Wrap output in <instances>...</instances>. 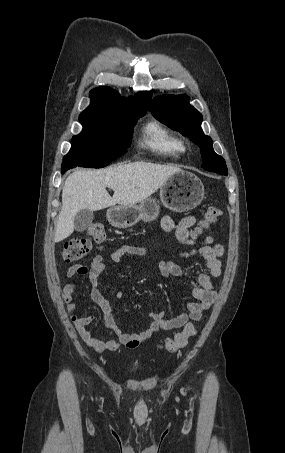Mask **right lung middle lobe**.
<instances>
[{
  "label": "right lung middle lobe",
  "mask_w": 285,
  "mask_h": 453,
  "mask_svg": "<svg viewBox=\"0 0 285 453\" xmlns=\"http://www.w3.org/2000/svg\"><path fill=\"white\" fill-rule=\"evenodd\" d=\"M146 111L110 113L84 110L83 131L72 138V147L63 166L102 168L124 154L131 145L133 127Z\"/></svg>",
  "instance_id": "dd1d6c3e"
}]
</instances>
